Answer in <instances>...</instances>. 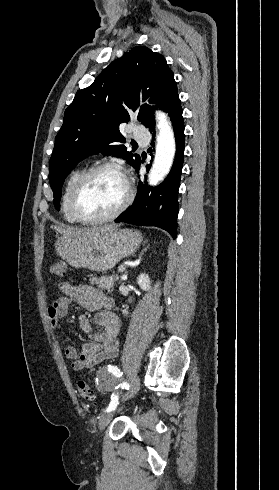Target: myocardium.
I'll list each match as a JSON object with an SVG mask.
<instances>
[{"label":"myocardium","mask_w":279,"mask_h":490,"mask_svg":"<svg viewBox=\"0 0 279 490\" xmlns=\"http://www.w3.org/2000/svg\"><path fill=\"white\" fill-rule=\"evenodd\" d=\"M105 171H111L119 174L124 182L125 190H126V195L124 200L119 204V206L112 211L109 214L100 216V217H85L82 215L81 210H80V198L81 195L90 181V179L95 176L98 173L105 172ZM134 192L133 188L130 184L129 178L127 171L124 167L114 164V163H101L98 165H95L87 170H85L82 175L79 177L77 180L73 194H72V201H71V206H72V211L78 221L84 224H95V223H103L107 221H111L117 217H119L130 205V203L133 200Z\"/></svg>","instance_id":"myocardium-1"}]
</instances>
